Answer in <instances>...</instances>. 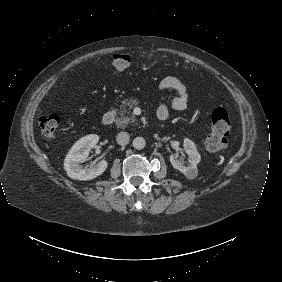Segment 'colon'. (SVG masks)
I'll return each mask as SVG.
<instances>
[{
  "label": "colon",
  "mask_w": 282,
  "mask_h": 282,
  "mask_svg": "<svg viewBox=\"0 0 282 282\" xmlns=\"http://www.w3.org/2000/svg\"><path fill=\"white\" fill-rule=\"evenodd\" d=\"M131 57L124 53H116L111 58V66L117 71H124L131 65ZM210 129L206 136V149L214 154H220L227 147V137L231 130L228 112L223 108H217L211 113ZM60 119L56 114H49L39 121L40 132L45 138H52Z\"/></svg>",
  "instance_id": "colon-1"
}]
</instances>
